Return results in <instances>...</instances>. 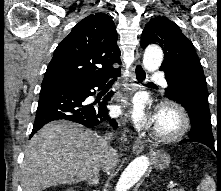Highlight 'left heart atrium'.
I'll return each instance as SVG.
<instances>
[{
	"label": "left heart atrium",
	"mask_w": 221,
	"mask_h": 191,
	"mask_svg": "<svg viewBox=\"0 0 221 191\" xmlns=\"http://www.w3.org/2000/svg\"><path fill=\"white\" fill-rule=\"evenodd\" d=\"M119 113L123 111L118 110ZM124 113L132 120L137 128H146L158 122V118L146 113L144 102L141 98H133L129 108ZM157 125V124H156Z\"/></svg>",
	"instance_id": "obj_1"
}]
</instances>
